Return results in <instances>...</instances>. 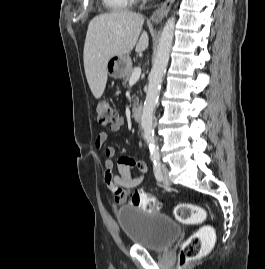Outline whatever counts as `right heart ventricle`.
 <instances>
[{
  "label": "right heart ventricle",
  "instance_id": "1",
  "mask_svg": "<svg viewBox=\"0 0 265 269\" xmlns=\"http://www.w3.org/2000/svg\"><path fill=\"white\" fill-rule=\"evenodd\" d=\"M136 0H103L111 11H123L130 9Z\"/></svg>",
  "mask_w": 265,
  "mask_h": 269
}]
</instances>
